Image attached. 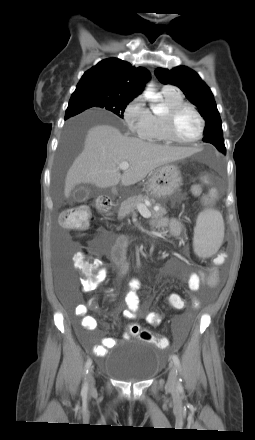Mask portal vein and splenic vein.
<instances>
[{"mask_svg": "<svg viewBox=\"0 0 255 440\" xmlns=\"http://www.w3.org/2000/svg\"><path fill=\"white\" fill-rule=\"evenodd\" d=\"M129 167H130V165H129V163L128 162H121V163H119V165H118V168L119 169H121V170H127V169H129ZM137 209H138V212L144 217V218H150L151 217V212L148 210V208L145 206V205H143V204H139V205H137Z\"/></svg>", "mask_w": 255, "mask_h": 440, "instance_id": "1", "label": "portal vein and splenic vein"}]
</instances>
